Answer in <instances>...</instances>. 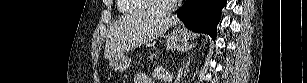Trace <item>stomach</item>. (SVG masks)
I'll return each mask as SVG.
<instances>
[{
  "instance_id": "stomach-1",
  "label": "stomach",
  "mask_w": 307,
  "mask_h": 83,
  "mask_svg": "<svg viewBox=\"0 0 307 83\" xmlns=\"http://www.w3.org/2000/svg\"><path fill=\"white\" fill-rule=\"evenodd\" d=\"M167 48L187 51L190 47V37L184 30H174L167 36ZM131 60L120 54L109 59L110 67L116 72H123L130 67Z\"/></svg>"
}]
</instances>
